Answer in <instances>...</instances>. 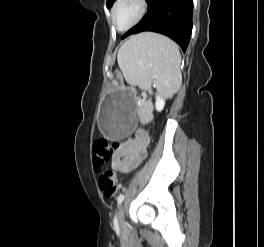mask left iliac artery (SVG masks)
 <instances>
[{
  "label": "left iliac artery",
  "instance_id": "44dca946",
  "mask_svg": "<svg viewBox=\"0 0 264 247\" xmlns=\"http://www.w3.org/2000/svg\"><path fill=\"white\" fill-rule=\"evenodd\" d=\"M124 200V194H120L118 197H117V203H118V206L123 202ZM115 220H117L116 216H115Z\"/></svg>",
  "mask_w": 264,
  "mask_h": 247
}]
</instances>
